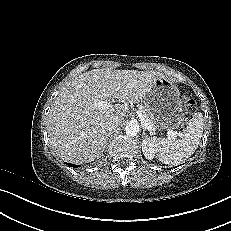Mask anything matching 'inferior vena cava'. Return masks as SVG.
<instances>
[{
	"label": "inferior vena cava",
	"instance_id": "1",
	"mask_svg": "<svg viewBox=\"0 0 231 231\" xmlns=\"http://www.w3.org/2000/svg\"><path fill=\"white\" fill-rule=\"evenodd\" d=\"M120 121L119 120H113L108 122V124L106 125V129L108 131L109 134L115 132L119 126H120Z\"/></svg>",
	"mask_w": 231,
	"mask_h": 231
}]
</instances>
